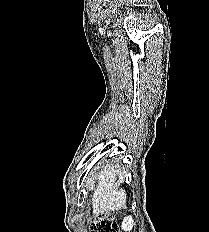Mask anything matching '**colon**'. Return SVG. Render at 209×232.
<instances>
[{
    "label": "colon",
    "mask_w": 209,
    "mask_h": 232,
    "mask_svg": "<svg viewBox=\"0 0 209 232\" xmlns=\"http://www.w3.org/2000/svg\"><path fill=\"white\" fill-rule=\"evenodd\" d=\"M91 232H119L117 223L110 214H99L90 220Z\"/></svg>",
    "instance_id": "5ec220e1"
}]
</instances>
